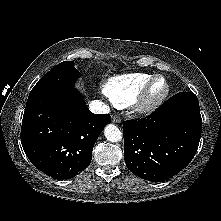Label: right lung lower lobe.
Here are the masks:
<instances>
[{
	"mask_svg": "<svg viewBox=\"0 0 221 221\" xmlns=\"http://www.w3.org/2000/svg\"><path fill=\"white\" fill-rule=\"evenodd\" d=\"M109 114H93L75 89L27 101L21 143L31 163L58 179L75 176L90 165L93 146Z\"/></svg>",
	"mask_w": 221,
	"mask_h": 221,
	"instance_id": "right-lung-lower-lobe-1",
	"label": "right lung lower lobe"
}]
</instances>
